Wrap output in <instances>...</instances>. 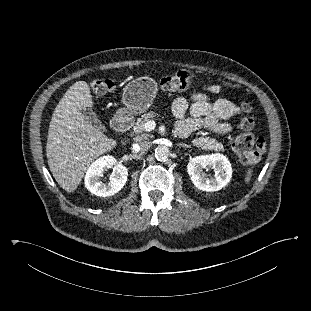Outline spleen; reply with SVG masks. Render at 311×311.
I'll use <instances>...</instances> for the list:
<instances>
[{"label": "spleen", "instance_id": "3e777b00", "mask_svg": "<svg viewBox=\"0 0 311 311\" xmlns=\"http://www.w3.org/2000/svg\"><path fill=\"white\" fill-rule=\"evenodd\" d=\"M252 163V162H250ZM253 170L251 168L247 169L246 174H245V183H248L250 181L251 175H252Z\"/></svg>", "mask_w": 311, "mask_h": 311}]
</instances>
